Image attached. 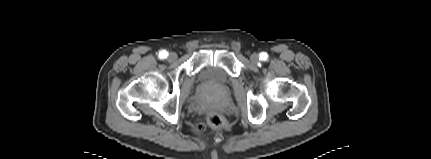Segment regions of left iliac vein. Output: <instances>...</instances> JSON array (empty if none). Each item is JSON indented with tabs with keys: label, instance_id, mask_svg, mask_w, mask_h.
Instances as JSON below:
<instances>
[{
	"label": "left iliac vein",
	"instance_id": "4c4485c4",
	"mask_svg": "<svg viewBox=\"0 0 431 159\" xmlns=\"http://www.w3.org/2000/svg\"><path fill=\"white\" fill-rule=\"evenodd\" d=\"M250 60H251L252 63H257L259 61V56L257 54H255V53H253L250 56Z\"/></svg>",
	"mask_w": 431,
	"mask_h": 159
}]
</instances>
